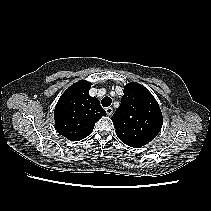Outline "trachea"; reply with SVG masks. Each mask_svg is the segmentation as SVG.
<instances>
[{"label": "trachea", "mask_w": 211, "mask_h": 211, "mask_svg": "<svg viewBox=\"0 0 211 211\" xmlns=\"http://www.w3.org/2000/svg\"><path fill=\"white\" fill-rule=\"evenodd\" d=\"M112 103V99L108 96L104 97L101 101L103 107H109Z\"/></svg>", "instance_id": "obj_1"}]
</instances>
